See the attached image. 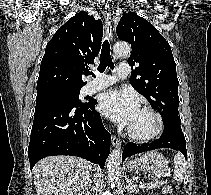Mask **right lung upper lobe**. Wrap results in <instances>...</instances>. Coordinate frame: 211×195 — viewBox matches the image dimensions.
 Wrapping results in <instances>:
<instances>
[{
	"label": "right lung upper lobe",
	"instance_id": "cb5924a9",
	"mask_svg": "<svg viewBox=\"0 0 211 195\" xmlns=\"http://www.w3.org/2000/svg\"><path fill=\"white\" fill-rule=\"evenodd\" d=\"M103 36L101 20L80 11L61 26L48 42L41 61L37 93L53 89L82 88V74L99 54Z\"/></svg>",
	"mask_w": 211,
	"mask_h": 195
}]
</instances>
